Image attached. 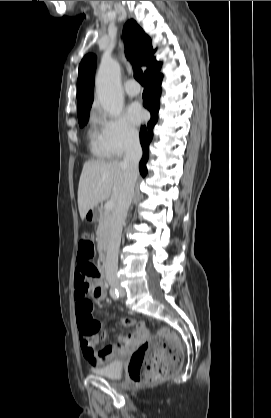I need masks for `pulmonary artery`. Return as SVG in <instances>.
I'll return each mask as SVG.
<instances>
[{
    "label": "pulmonary artery",
    "instance_id": "1",
    "mask_svg": "<svg viewBox=\"0 0 271 418\" xmlns=\"http://www.w3.org/2000/svg\"><path fill=\"white\" fill-rule=\"evenodd\" d=\"M125 92L128 96H137L140 93V86L136 81L130 80L125 85Z\"/></svg>",
    "mask_w": 271,
    "mask_h": 418
}]
</instances>
